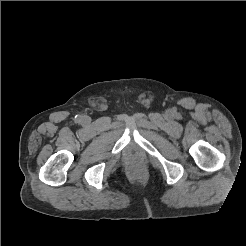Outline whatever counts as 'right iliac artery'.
<instances>
[{"mask_svg": "<svg viewBox=\"0 0 246 246\" xmlns=\"http://www.w3.org/2000/svg\"><path fill=\"white\" fill-rule=\"evenodd\" d=\"M80 119H81V117H80L79 115L75 116V120H76V122H79V121H80Z\"/></svg>", "mask_w": 246, "mask_h": 246, "instance_id": "1", "label": "right iliac artery"}]
</instances>
